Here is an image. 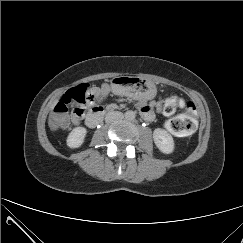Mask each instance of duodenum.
<instances>
[{
    "label": "duodenum",
    "instance_id": "1",
    "mask_svg": "<svg viewBox=\"0 0 243 243\" xmlns=\"http://www.w3.org/2000/svg\"><path fill=\"white\" fill-rule=\"evenodd\" d=\"M106 110L102 107L93 108L86 117V124L89 127H96L104 118Z\"/></svg>",
    "mask_w": 243,
    "mask_h": 243
}]
</instances>
